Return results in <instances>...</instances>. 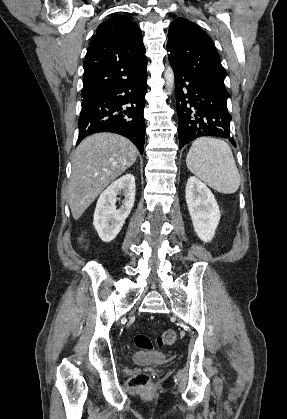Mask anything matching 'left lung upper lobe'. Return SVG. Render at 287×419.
Listing matches in <instances>:
<instances>
[{
    "label": "left lung upper lobe",
    "mask_w": 287,
    "mask_h": 419,
    "mask_svg": "<svg viewBox=\"0 0 287 419\" xmlns=\"http://www.w3.org/2000/svg\"><path fill=\"white\" fill-rule=\"evenodd\" d=\"M167 50L174 71L219 81L227 75L211 38L187 19L178 18L170 24Z\"/></svg>",
    "instance_id": "1"
}]
</instances>
